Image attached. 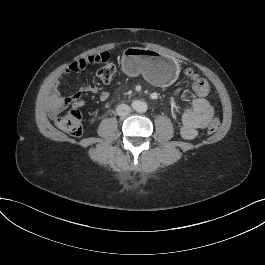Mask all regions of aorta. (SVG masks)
I'll use <instances>...</instances> for the list:
<instances>
[{"mask_svg": "<svg viewBox=\"0 0 265 265\" xmlns=\"http://www.w3.org/2000/svg\"><path fill=\"white\" fill-rule=\"evenodd\" d=\"M133 108L139 113H144L148 109L147 104L145 102H142V101L134 102Z\"/></svg>", "mask_w": 265, "mask_h": 265, "instance_id": "1", "label": "aorta"}]
</instances>
